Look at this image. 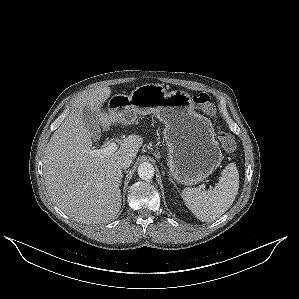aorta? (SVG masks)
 Wrapping results in <instances>:
<instances>
[{
	"instance_id": "aorta-1",
	"label": "aorta",
	"mask_w": 299,
	"mask_h": 299,
	"mask_svg": "<svg viewBox=\"0 0 299 299\" xmlns=\"http://www.w3.org/2000/svg\"><path fill=\"white\" fill-rule=\"evenodd\" d=\"M155 174L154 167L151 163L143 162L138 167V175L143 180L151 179Z\"/></svg>"
}]
</instances>
